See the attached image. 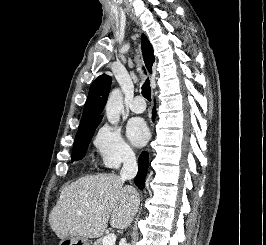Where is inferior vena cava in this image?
Wrapping results in <instances>:
<instances>
[{
  "mask_svg": "<svg viewBox=\"0 0 266 245\" xmlns=\"http://www.w3.org/2000/svg\"><path fill=\"white\" fill-rule=\"evenodd\" d=\"M138 173V165L136 161V157L131 151L128 155H125L123 161V167L121 169L120 177L122 181H130V179H134Z\"/></svg>",
  "mask_w": 266,
  "mask_h": 245,
  "instance_id": "602c4592",
  "label": "inferior vena cava"
}]
</instances>
